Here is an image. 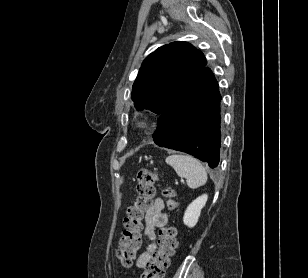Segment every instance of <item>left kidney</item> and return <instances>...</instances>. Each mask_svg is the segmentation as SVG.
I'll use <instances>...</instances> for the list:
<instances>
[{
  "mask_svg": "<svg viewBox=\"0 0 308 278\" xmlns=\"http://www.w3.org/2000/svg\"><path fill=\"white\" fill-rule=\"evenodd\" d=\"M207 199L208 195L204 194L199 196L191 204H189L183 217V222L185 225L192 228L197 224L201 214V210L205 206Z\"/></svg>",
  "mask_w": 308,
  "mask_h": 278,
  "instance_id": "5707ae66",
  "label": "left kidney"
}]
</instances>
